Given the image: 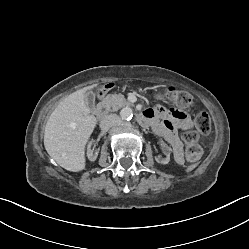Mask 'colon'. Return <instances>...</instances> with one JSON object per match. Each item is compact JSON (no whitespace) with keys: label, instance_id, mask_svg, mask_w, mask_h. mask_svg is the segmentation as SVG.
<instances>
[{"label":"colon","instance_id":"1","mask_svg":"<svg viewBox=\"0 0 249 249\" xmlns=\"http://www.w3.org/2000/svg\"><path fill=\"white\" fill-rule=\"evenodd\" d=\"M112 86V84H108L105 90ZM164 93L168 99L182 107H191L194 103L192 96L187 91L168 86L164 89ZM211 129L212 121L209 114L200 112L194 118V128L182 133V139L186 144L185 158L189 163H197L202 158L203 149L197 144V139L199 134L207 135Z\"/></svg>","mask_w":249,"mask_h":249}]
</instances>
